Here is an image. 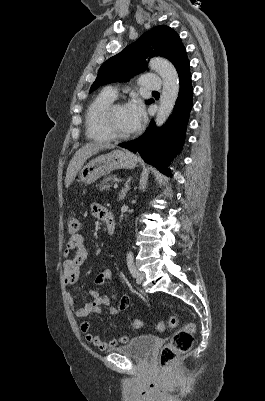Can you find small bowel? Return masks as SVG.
Listing matches in <instances>:
<instances>
[{
	"mask_svg": "<svg viewBox=\"0 0 265 401\" xmlns=\"http://www.w3.org/2000/svg\"><path fill=\"white\" fill-rule=\"evenodd\" d=\"M105 211L106 209L99 204H93L91 207L92 215L98 219L103 220ZM63 255L66 257V260L63 262V282L65 286L69 287L78 281L80 268L88 257L83 236L80 234L71 236L67 241ZM111 276V270L109 268H104L97 274L95 284L99 287H105L111 279ZM89 297V300L83 306H77L72 295L67 293L66 299L72 307L76 318L85 319L92 313H100L102 311V306H110L112 302L116 300V295L112 291L101 293L98 290H91ZM124 305H126V308L129 306V298L127 296H123L117 305H112L110 307L111 315H119L126 309L123 308ZM80 330L88 343L93 344L103 351L128 342V337L124 335L110 341L102 340L99 335L91 332L90 323L87 321H83L80 324Z\"/></svg>",
	"mask_w": 265,
	"mask_h": 401,
	"instance_id": "obj_1",
	"label": "small bowel"
}]
</instances>
